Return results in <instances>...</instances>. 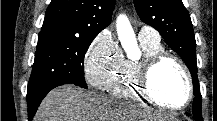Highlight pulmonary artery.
Instances as JSON below:
<instances>
[{
	"instance_id": "obj_1",
	"label": "pulmonary artery",
	"mask_w": 217,
	"mask_h": 121,
	"mask_svg": "<svg viewBox=\"0 0 217 121\" xmlns=\"http://www.w3.org/2000/svg\"><path fill=\"white\" fill-rule=\"evenodd\" d=\"M138 38L141 41H148L153 43L160 42L159 33L152 27L144 25L139 29Z\"/></svg>"
}]
</instances>
